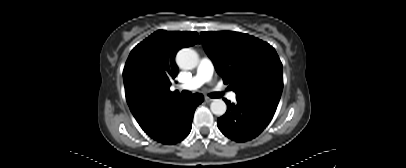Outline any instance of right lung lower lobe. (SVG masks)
Returning a JSON list of instances; mask_svg holds the SVG:
<instances>
[{
	"instance_id": "98d812e1",
	"label": "right lung lower lobe",
	"mask_w": 406,
	"mask_h": 168,
	"mask_svg": "<svg viewBox=\"0 0 406 168\" xmlns=\"http://www.w3.org/2000/svg\"><path fill=\"white\" fill-rule=\"evenodd\" d=\"M203 100L202 94L176 98L141 128L160 143H178L190 133L195 109Z\"/></svg>"
}]
</instances>
